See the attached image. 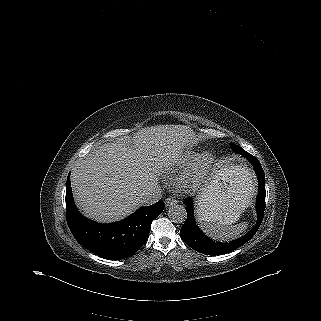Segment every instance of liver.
I'll use <instances>...</instances> for the list:
<instances>
[{
	"label": "liver",
	"instance_id": "1",
	"mask_svg": "<svg viewBox=\"0 0 321 321\" xmlns=\"http://www.w3.org/2000/svg\"><path fill=\"white\" fill-rule=\"evenodd\" d=\"M196 137L186 125H158L139 130L131 139L96 147L71 174L78 208L99 222L130 215L142 206L143 194L158 188L159 175L170 166L167 152L195 144Z\"/></svg>",
	"mask_w": 321,
	"mask_h": 321
}]
</instances>
